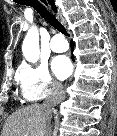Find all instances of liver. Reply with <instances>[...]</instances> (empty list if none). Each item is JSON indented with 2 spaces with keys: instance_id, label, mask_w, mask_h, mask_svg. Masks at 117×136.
<instances>
[{
  "instance_id": "6515ba94",
  "label": "liver",
  "mask_w": 117,
  "mask_h": 136,
  "mask_svg": "<svg viewBox=\"0 0 117 136\" xmlns=\"http://www.w3.org/2000/svg\"><path fill=\"white\" fill-rule=\"evenodd\" d=\"M51 113L43 104L24 107L8 117L2 136H44Z\"/></svg>"
}]
</instances>
